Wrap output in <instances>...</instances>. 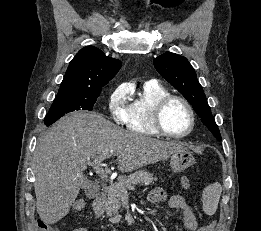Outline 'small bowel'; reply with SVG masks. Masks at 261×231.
<instances>
[{
    "label": "small bowel",
    "instance_id": "c3829d8e",
    "mask_svg": "<svg viewBox=\"0 0 261 231\" xmlns=\"http://www.w3.org/2000/svg\"><path fill=\"white\" fill-rule=\"evenodd\" d=\"M180 182L183 188L188 189L190 187V180L187 176H182ZM166 199L167 195L162 189H156L152 191L148 196L149 202L153 204L162 203ZM169 206L172 209L179 211L183 215V224L185 231H213L214 228L211 225H199L191 205L184 197L180 195L171 196L169 198ZM71 231H87V229L80 227L72 229Z\"/></svg>",
    "mask_w": 261,
    "mask_h": 231
}]
</instances>
